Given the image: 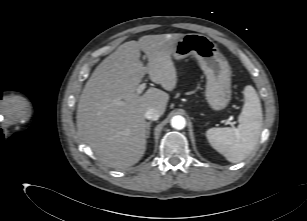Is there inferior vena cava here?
Masks as SVG:
<instances>
[{"label": "inferior vena cava", "mask_w": 307, "mask_h": 221, "mask_svg": "<svg viewBox=\"0 0 307 221\" xmlns=\"http://www.w3.org/2000/svg\"><path fill=\"white\" fill-rule=\"evenodd\" d=\"M145 118L148 120L156 121L161 116L160 112L157 109L150 108L145 112Z\"/></svg>", "instance_id": "inferior-vena-cava-1"}]
</instances>
